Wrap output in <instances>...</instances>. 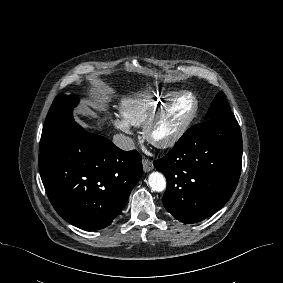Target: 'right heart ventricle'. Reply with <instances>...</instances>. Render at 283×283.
Listing matches in <instances>:
<instances>
[{"label":"right heart ventricle","instance_id":"obj_1","mask_svg":"<svg viewBox=\"0 0 283 283\" xmlns=\"http://www.w3.org/2000/svg\"><path fill=\"white\" fill-rule=\"evenodd\" d=\"M172 92L149 88L125 99L121 105L123 118L133 126H142L150 114L164 101Z\"/></svg>","mask_w":283,"mask_h":283}]
</instances>
